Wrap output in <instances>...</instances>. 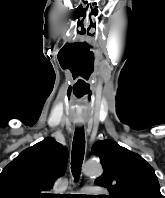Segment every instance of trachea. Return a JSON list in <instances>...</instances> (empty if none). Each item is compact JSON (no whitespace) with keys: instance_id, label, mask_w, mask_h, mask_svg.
<instances>
[{"instance_id":"1","label":"trachea","mask_w":165,"mask_h":198,"mask_svg":"<svg viewBox=\"0 0 165 198\" xmlns=\"http://www.w3.org/2000/svg\"><path fill=\"white\" fill-rule=\"evenodd\" d=\"M85 153V134L84 129H77L74 133L73 144H72V153H71V170L72 174L75 177V180L78 179L81 166L84 159Z\"/></svg>"}]
</instances>
